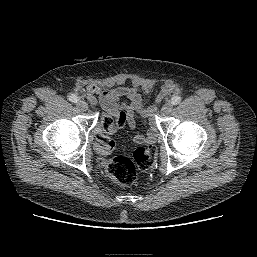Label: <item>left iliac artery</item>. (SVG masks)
Returning <instances> with one entry per match:
<instances>
[{
	"label": "left iliac artery",
	"mask_w": 257,
	"mask_h": 257,
	"mask_svg": "<svg viewBox=\"0 0 257 257\" xmlns=\"http://www.w3.org/2000/svg\"><path fill=\"white\" fill-rule=\"evenodd\" d=\"M181 100H182L181 96L175 95V96H173V97L171 98V103H172L173 105H177V104H179V103L181 102Z\"/></svg>",
	"instance_id": "obj_1"
}]
</instances>
